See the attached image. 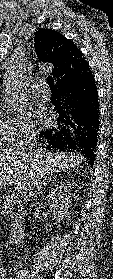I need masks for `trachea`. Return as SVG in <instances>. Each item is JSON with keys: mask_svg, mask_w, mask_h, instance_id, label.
<instances>
[{"mask_svg": "<svg viewBox=\"0 0 113 279\" xmlns=\"http://www.w3.org/2000/svg\"><path fill=\"white\" fill-rule=\"evenodd\" d=\"M47 83H48L50 89H56L52 77H50V76L47 77Z\"/></svg>", "mask_w": 113, "mask_h": 279, "instance_id": "obj_1", "label": "trachea"}]
</instances>
